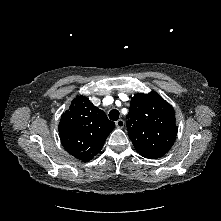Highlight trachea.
<instances>
[{"label": "trachea", "instance_id": "trachea-1", "mask_svg": "<svg viewBox=\"0 0 221 221\" xmlns=\"http://www.w3.org/2000/svg\"><path fill=\"white\" fill-rule=\"evenodd\" d=\"M109 118L110 120L117 121L119 119V111L116 109H112L109 112Z\"/></svg>", "mask_w": 221, "mask_h": 221}]
</instances>
